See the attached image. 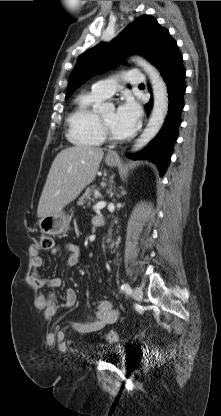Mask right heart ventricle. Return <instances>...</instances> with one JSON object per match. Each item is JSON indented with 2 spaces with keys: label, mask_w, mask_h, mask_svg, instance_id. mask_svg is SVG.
<instances>
[{
  "label": "right heart ventricle",
  "mask_w": 221,
  "mask_h": 416,
  "mask_svg": "<svg viewBox=\"0 0 221 416\" xmlns=\"http://www.w3.org/2000/svg\"><path fill=\"white\" fill-rule=\"evenodd\" d=\"M104 98L95 92L81 93L75 107L68 116V138L77 145L99 146L104 142V137L98 121V113L95 106Z\"/></svg>",
  "instance_id": "right-heart-ventricle-1"
}]
</instances>
